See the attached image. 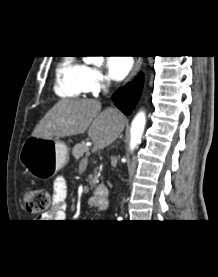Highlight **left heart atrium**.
Returning a JSON list of instances; mask_svg holds the SVG:
<instances>
[{
    "label": "left heart atrium",
    "mask_w": 218,
    "mask_h": 277,
    "mask_svg": "<svg viewBox=\"0 0 218 277\" xmlns=\"http://www.w3.org/2000/svg\"><path fill=\"white\" fill-rule=\"evenodd\" d=\"M110 77L116 81L122 80L130 71L132 61L126 57H109L107 60Z\"/></svg>",
    "instance_id": "39dd6f15"
}]
</instances>
